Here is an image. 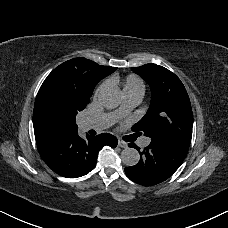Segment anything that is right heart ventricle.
<instances>
[{
  "mask_svg": "<svg viewBox=\"0 0 228 228\" xmlns=\"http://www.w3.org/2000/svg\"><path fill=\"white\" fill-rule=\"evenodd\" d=\"M107 83L110 87L109 90H113L124 97L130 94H141L144 93L143 81L134 74H129L125 77H121L119 74H112L107 77Z\"/></svg>",
  "mask_w": 228,
  "mask_h": 228,
  "instance_id": "e07e8e85",
  "label": "right heart ventricle"
}]
</instances>
